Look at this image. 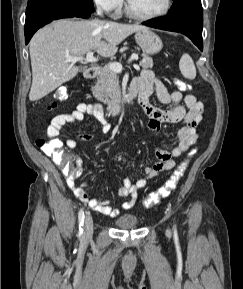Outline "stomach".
<instances>
[{
    "mask_svg": "<svg viewBox=\"0 0 243 289\" xmlns=\"http://www.w3.org/2000/svg\"><path fill=\"white\" fill-rule=\"evenodd\" d=\"M135 40L147 54L158 53L163 47L161 38L148 28L137 31Z\"/></svg>",
    "mask_w": 243,
    "mask_h": 289,
    "instance_id": "1",
    "label": "stomach"
}]
</instances>
